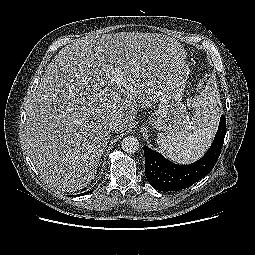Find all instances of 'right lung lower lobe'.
<instances>
[{
    "instance_id": "1",
    "label": "right lung lower lobe",
    "mask_w": 255,
    "mask_h": 255,
    "mask_svg": "<svg viewBox=\"0 0 255 255\" xmlns=\"http://www.w3.org/2000/svg\"><path fill=\"white\" fill-rule=\"evenodd\" d=\"M91 191H88V192H84V193H82V194H79L80 196L81 195H85V194H88V193H90Z\"/></svg>"
}]
</instances>
